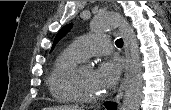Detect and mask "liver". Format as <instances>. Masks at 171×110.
Listing matches in <instances>:
<instances>
[{
    "label": "liver",
    "mask_w": 171,
    "mask_h": 110,
    "mask_svg": "<svg viewBox=\"0 0 171 110\" xmlns=\"http://www.w3.org/2000/svg\"><path fill=\"white\" fill-rule=\"evenodd\" d=\"M43 110H83V109L77 106H53V107L44 108Z\"/></svg>",
    "instance_id": "liver-1"
}]
</instances>
